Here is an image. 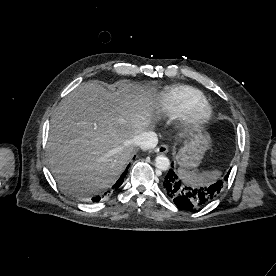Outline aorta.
<instances>
[{
  "mask_svg": "<svg viewBox=\"0 0 276 276\" xmlns=\"http://www.w3.org/2000/svg\"><path fill=\"white\" fill-rule=\"evenodd\" d=\"M155 166L161 171H166L170 167V161L166 156L158 155L155 159Z\"/></svg>",
  "mask_w": 276,
  "mask_h": 276,
  "instance_id": "obj_1",
  "label": "aorta"
}]
</instances>
